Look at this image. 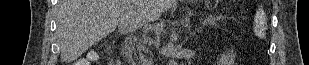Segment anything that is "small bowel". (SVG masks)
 Segmentation results:
<instances>
[{
	"instance_id": "obj_1",
	"label": "small bowel",
	"mask_w": 309,
	"mask_h": 65,
	"mask_svg": "<svg viewBox=\"0 0 309 65\" xmlns=\"http://www.w3.org/2000/svg\"><path fill=\"white\" fill-rule=\"evenodd\" d=\"M92 57H93V54L90 55L88 58H92ZM82 63H88V61L87 60H83Z\"/></svg>"
}]
</instances>
